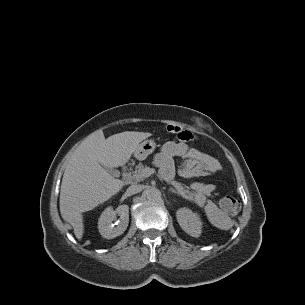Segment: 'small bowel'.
<instances>
[{"label": "small bowel", "mask_w": 305, "mask_h": 305, "mask_svg": "<svg viewBox=\"0 0 305 305\" xmlns=\"http://www.w3.org/2000/svg\"><path fill=\"white\" fill-rule=\"evenodd\" d=\"M192 134L186 132L184 138L177 141H170L164 144L161 150L155 155L154 163L160 168L161 176L164 180H171L175 175L174 158L181 157L190 159L203 171L215 172L219 170V163L213 157L191 148L187 141L192 138Z\"/></svg>", "instance_id": "obj_1"}]
</instances>
